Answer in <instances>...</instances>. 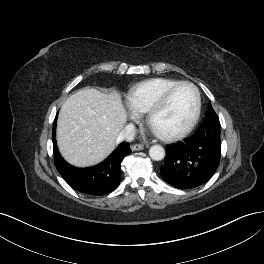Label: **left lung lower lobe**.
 Here are the masks:
<instances>
[{"label":"left lung lower lobe","mask_w":264,"mask_h":264,"mask_svg":"<svg viewBox=\"0 0 264 264\" xmlns=\"http://www.w3.org/2000/svg\"><path fill=\"white\" fill-rule=\"evenodd\" d=\"M221 155L220 126L202 123L183 142L168 145L163 179L179 189H191L207 182L218 168Z\"/></svg>","instance_id":"obj_1"}]
</instances>
